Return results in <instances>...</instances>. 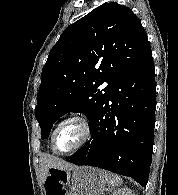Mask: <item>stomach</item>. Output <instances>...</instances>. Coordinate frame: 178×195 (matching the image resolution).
Masks as SVG:
<instances>
[{
	"mask_svg": "<svg viewBox=\"0 0 178 195\" xmlns=\"http://www.w3.org/2000/svg\"><path fill=\"white\" fill-rule=\"evenodd\" d=\"M52 177L58 195H101L106 190V180L102 171L91 166L72 169L50 168L48 176Z\"/></svg>",
	"mask_w": 178,
	"mask_h": 195,
	"instance_id": "0dacf381",
	"label": "stomach"
}]
</instances>
